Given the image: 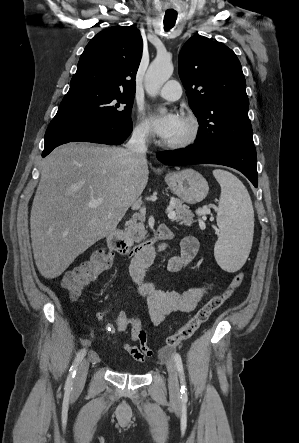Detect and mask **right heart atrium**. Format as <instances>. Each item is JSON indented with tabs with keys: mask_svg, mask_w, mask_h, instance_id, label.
<instances>
[{
	"mask_svg": "<svg viewBox=\"0 0 299 443\" xmlns=\"http://www.w3.org/2000/svg\"><path fill=\"white\" fill-rule=\"evenodd\" d=\"M133 136L141 142H147L151 138L149 126L143 119H139L134 126Z\"/></svg>",
	"mask_w": 299,
	"mask_h": 443,
	"instance_id": "1",
	"label": "right heart atrium"
}]
</instances>
